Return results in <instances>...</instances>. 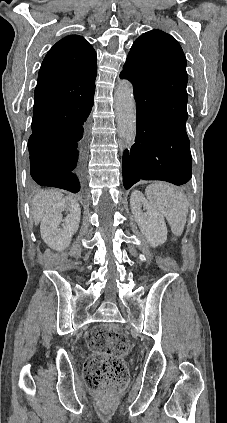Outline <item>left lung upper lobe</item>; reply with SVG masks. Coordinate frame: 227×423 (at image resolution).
<instances>
[{
    "mask_svg": "<svg viewBox=\"0 0 227 423\" xmlns=\"http://www.w3.org/2000/svg\"><path fill=\"white\" fill-rule=\"evenodd\" d=\"M186 58L179 43L169 34L152 30L133 43L121 78L133 84L134 91L158 112H187Z\"/></svg>",
    "mask_w": 227,
    "mask_h": 423,
    "instance_id": "left-lung-upper-lobe-1",
    "label": "left lung upper lobe"
}]
</instances>
